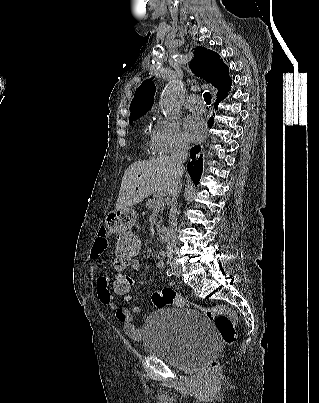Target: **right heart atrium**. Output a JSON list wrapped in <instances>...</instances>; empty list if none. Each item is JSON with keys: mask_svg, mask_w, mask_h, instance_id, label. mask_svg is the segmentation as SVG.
<instances>
[{"mask_svg": "<svg viewBox=\"0 0 319 403\" xmlns=\"http://www.w3.org/2000/svg\"><path fill=\"white\" fill-rule=\"evenodd\" d=\"M153 141L160 153L171 154L187 148L188 142L180 128L179 122L173 119H160L153 132Z\"/></svg>", "mask_w": 319, "mask_h": 403, "instance_id": "1", "label": "right heart atrium"}]
</instances>
